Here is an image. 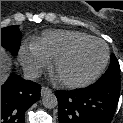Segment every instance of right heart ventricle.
<instances>
[{
    "instance_id": "right-heart-ventricle-1",
    "label": "right heart ventricle",
    "mask_w": 123,
    "mask_h": 123,
    "mask_svg": "<svg viewBox=\"0 0 123 123\" xmlns=\"http://www.w3.org/2000/svg\"><path fill=\"white\" fill-rule=\"evenodd\" d=\"M89 38L92 37L79 31L50 30L33 40L30 47L52 61L74 43Z\"/></svg>"
}]
</instances>
